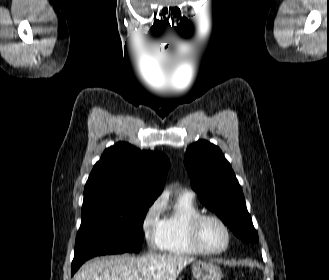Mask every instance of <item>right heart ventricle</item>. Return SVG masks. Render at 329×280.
<instances>
[{"instance_id": "obj_1", "label": "right heart ventricle", "mask_w": 329, "mask_h": 280, "mask_svg": "<svg viewBox=\"0 0 329 280\" xmlns=\"http://www.w3.org/2000/svg\"><path fill=\"white\" fill-rule=\"evenodd\" d=\"M200 213L193 194H177L165 217V231L160 249L177 256L197 255L189 240L188 227L191 219Z\"/></svg>"}]
</instances>
